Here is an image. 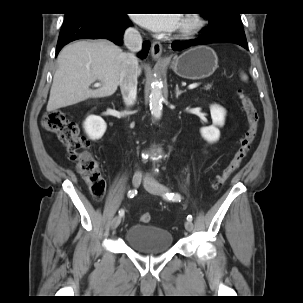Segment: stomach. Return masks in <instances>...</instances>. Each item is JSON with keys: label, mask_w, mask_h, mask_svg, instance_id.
Wrapping results in <instances>:
<instances>
[{"label": "stomach", "mask_w": 303, "mask_h": 303, "mask_svg": "<svg viewBox=\"0 0 303 303\" xmlns=\"http://www.w3.org/2000/svg\"><path fill=\"white\" fill-rule=\"evenodd\" d=\"M170 67L181 78L204 79L217 69L218 57L212 48L205 45L196 46L173 58Z\"/></svg>", "instance_id": "stomach-1"}]
</instances>
